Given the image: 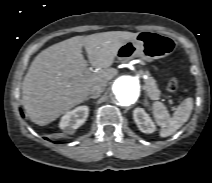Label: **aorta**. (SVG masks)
<instances>
[{
	"instance_id": "762f6f07",
	"label": "aorta",
	"mask_w": 212,
	"mask_h": 183,
	"mask_svg": "<svg viewBox=\"0 0 212 183\" xmlns=\"http://www.w3.org/2000/svg\"><path fill=\"white\" fill-rule=\"evenodd\" d=\"M141 93L139 81L132 76H120L112 86L114 100L121 106H129L135 103Z\"/></svg>"
}]
</instances>
